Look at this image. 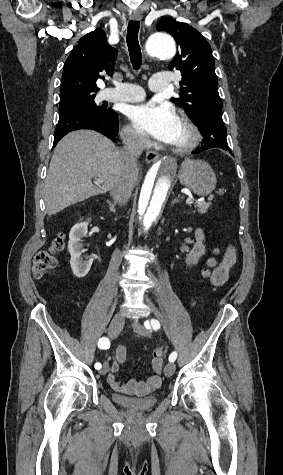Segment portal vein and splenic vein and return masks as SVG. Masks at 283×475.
Listing matches in <instances>:
<instances>
[{
  "label": "portal vein and splenic vein",
  "mask_w": 283,
  "mask_h": 475,
  "mask_svg": "<svg viewBox=\"0 0 283 475\" xmlns=\"http://www.w3.org/2000/svg\"><path fill=\"white\" fill-rule=\"evenodd\" d=\"M186 204H193V202H192V198H187V200H186Z\"/></svg>",
  "instance_id": "obj_1"
}]
</instances>
